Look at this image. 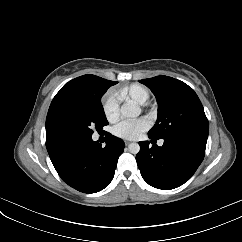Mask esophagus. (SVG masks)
I'll return each instance as SVG.
<instances>
[{
  "label": "esophagus",
  "mask_w": 242,
  "mask_h": 242,
  "mask_svg": "<svg viewBox=\"0 0 242 242\" xmlns=\"http://www.w3.org/2000/svg\"><path fill=\"white\" fill-rule=\"evenodd\" d=\"M130 143V141H125V145H129Z\"/></svg>",
  "instance_id": "34e87169"
}]
</instances>
